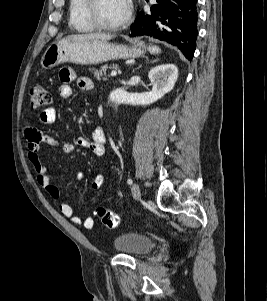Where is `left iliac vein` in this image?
<instances>
[{
	"instance_id": "left-iliac-vein-1",
	"label": "left iliac vein",
	"mask_w": 267,
	"mask_h": 301,
	"mask_svg": "<svg viewBox=\"0 0 267 301\" xmlns=\"http://www.w3.org/2000/svg\"><path fill=\"white\" fill-rule=\"evenodd\" d=\"M132 196L135 200H138L141 196L139 185L134 183L131 188Z\"/></svg>"
}]
</instances>
